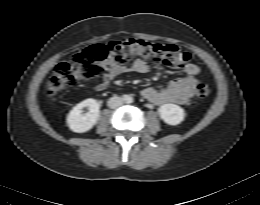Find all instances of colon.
Returning a JSON list of instances; mask_svg holds the SVG:
<instances>
[{"instance_id":"5ec220e1","label":"colon","mask_w":260,"mask_h":205,"mask_svg":"<svg viewBox=\"0 0 260 205\" xmlns=\"http://www.w3.org/2000/svg\"><path fill=\"white\" fill-rule=\"evenodd\" d=\"M109 57L118 64L141 58L176 69L184 68L190 60V54L175 45L154 44L136 39L94 44L55 67L47 82L46 94L54 99L62 90L83 80L98 77L103 71V61ZM209 94L210 86L206 82L197 83V98L205 99Z\"/></svg>"}]
</instances>
